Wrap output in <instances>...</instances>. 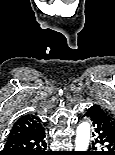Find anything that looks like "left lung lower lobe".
<instances>
[{
  "label": "left lung lower lobe",
  "mask_w": 115,
  "mask_h": 155,
  "mask_svg": "<svg viewBox=\"0 0 115 155\" xmlns=\"http://www.w3.org/2000/svg\"><path fill=\"white\" fill-rule=\"evenodd\" d=\"M85 116L92 122L93 135L97 137L92 147L96 149L94 145L100 144L103 146L101 148H104L107 152L97 154L96 152L87 151L83 155H115V130L112 128L106 111L98 105H93L87 110Z\"/></svg>",
  "instance_id": "1"
}]
</instances>
